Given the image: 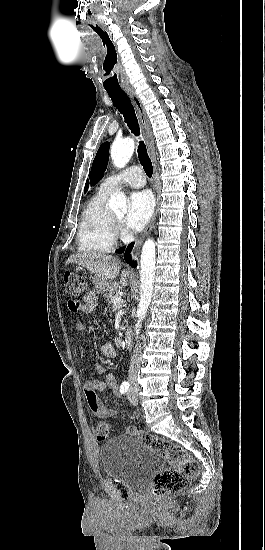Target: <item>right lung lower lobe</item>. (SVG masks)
Segmentation results:
<instances>
[{"label":"right lung lower lobe","mask_w":265,"mask_h":550,"mask_svg":"<svg viewBox=\"0 0 265 550\" xmlns=\"http://www.w3.org/2000/svg\"><path fill=\"white\" fill-rule=\"evenodd\" d=\"M134 246V243H131L128 245L126 251H125V254H124V259L126 260L127 263H129L132 267H136L137 266V262L136 261H133L131 262V255H130V252L132 250Z\"/></svg>","instance_id":"obj_1"}]
</instances>
